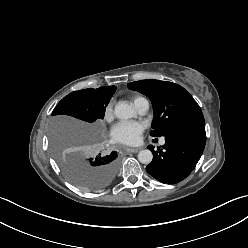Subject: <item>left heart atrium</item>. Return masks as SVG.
Returning <instances> with one entry per match:
<instances>
[{"label":"left heart atrium","instance_id":"obj_1","mask_svg":"<svg viewBox=\"0 0 248 248\" xmlns=\"http://www.w3.org/2000/svg\"><path fill=\"white\" fill-rule=\"evenodd\" d=\"M144 125L136 121H120L112 127L111 136L114 141L133 145L139 141Z\"/></svg>","mask_w":248,"mask_h":248}]
</instances>
